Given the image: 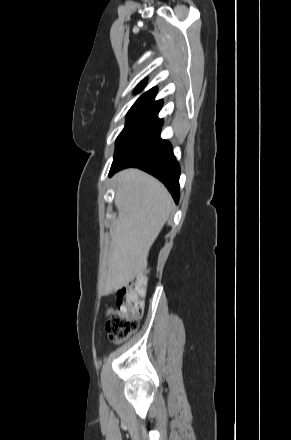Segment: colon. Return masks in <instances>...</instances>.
Returning <instances> with one entry per match:
<instances>
[{"label": "colon", "instance_id": "5ec220e1", "mask_svg": "<svg viewBox=\"0 0 291 440\" xmlns=\"http://www.w3.org/2000/svg\"><path fill=\"white\" fill-rule=\"evenodd\" d=\"M146 285V276L140 275L117 291V307L106 311L105 322V329L113 341L127 340L138 328L139 319L143 315L142 299Z\"/></svg>", "mask_w": 291, "mask_h": 440}]
</instances>
